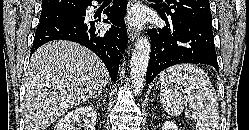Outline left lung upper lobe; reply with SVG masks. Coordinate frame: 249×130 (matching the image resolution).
<instances>
[{"label": "left lung upper lobe", "mask_w": 249, "mask_h": 130, "mask_svg": "<svg viewBox=\"0 0 249 130\" xmlns=\"http://www.w3.org/2000/svg\"><path fill=\"white\" fill-rule=\"evenodd\" d=\"M154 8L167 17L192 20L212 27L209 0H166V3L155 4Z\"/></svg>", "instance_id": "obj_1"}]
</instances>
